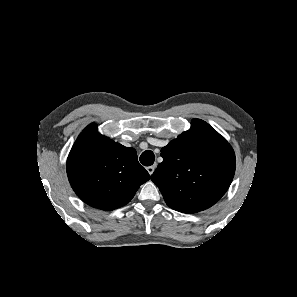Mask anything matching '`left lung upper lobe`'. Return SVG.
<instances>
[{"instance_id":"left-lung-upper-lobe-1","label":"left lung upper lobe","mask_w":297,"mask_h":297,"mask_svg":"<svg viewBox=\"0 0 297 297\" xmlns=\"http://www.w3.org/2000/svg\"><path fill=\"white\" fill-rule=\"evenodd\" d=\"M163 162L151 175L167 205L196 213L214 205L229 188L236 159L231 145L208 123L193 119L190 130L161 149Z\"/></svg>"}]
</instances>
